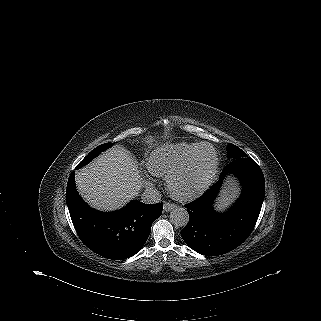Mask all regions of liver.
<instances>
[{"instance_id":"1","label":"liver","mask_w":321,"mask_h":321,"mask_svg":"<svg viewBox=\"0 0 321 321\" xmlns=\"http://www.w3.org/2000/svg\"><path fill=\"white\" fill-rule=\"evenodd\" d=\"M81 196L94 208L112 211L138 195L143 181L135 159L114 146L75 176Z\"/></svg>"}]
</instances>
